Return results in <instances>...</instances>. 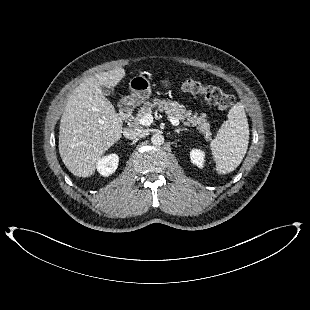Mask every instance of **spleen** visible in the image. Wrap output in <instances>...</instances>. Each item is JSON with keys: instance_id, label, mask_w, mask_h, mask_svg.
I'll return each instance as SVG.
<instances>
[{"instance_id": "3e777b00", "label": "spleen", "mask_w": 310, "mask_h": 310, "mask_svg": "<svg viewBox=\"0 0 310 310\" xmlns=\"http://www.w3.org/2000/svg\"><path fill=\"white\" fill-rule=\"evenodd\" d=\"M248 143V121L243 104L238 102L229 110L228 120L223 122L210 144L217 173L235 170L246 154Z\"/></svg>"}]
</instances>
